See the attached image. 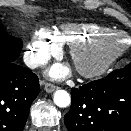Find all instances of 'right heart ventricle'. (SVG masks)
<instances>
[{"label": "right heart ventricle", "instance_id": "e07e8e85", "mask_svg": "<svg viewBox=\"0 0 131 131\" xmlns=\"http://www.w3.org/2000/svg\"><path fill=\"white\" fill-rule=\"evenodd\" d=\"M108 31L112 29L97 23H62L59 27L53 28L50 33L58 43L72 45Z\"/></svg>", "mask_w": 131, "mask_h": 131}]
</instances>
